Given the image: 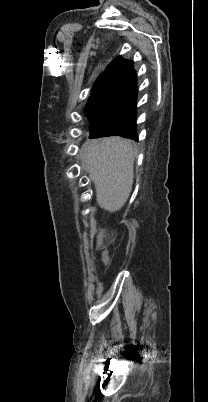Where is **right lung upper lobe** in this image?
<instances>
[{
    "instance_id": "1",
    "label": "right lung upper lobe",
    "mask_w": 208,
    "mask_h": 402,
    "mask_svg": "<svg viewBox=\"0 0 208 402\" xmlns=\"http://www.w3.org/2000/svg\"><path fill=\"white\" fill-rule=\"evenodd\" d=\"M131 61L123 60L118 56L100 75L93 87V93H100L110 88V84L128 67ZM113 90V89H112Z\"/></svg>"
}]
</instances>
